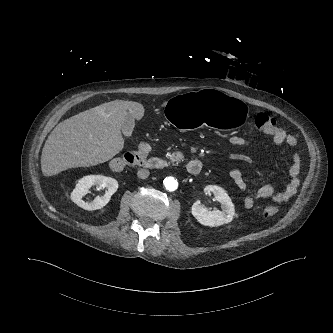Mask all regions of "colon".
Masks as SVG:
<instances>
[{"label": "colon", "mask_w": 333, "mask_h": 333, "mask_svg": "<svg viewBox=\"0 0 333 333\" xmlns=\"http://www.w3.org/2000/svg\"><path fill=\"white\" fill-rule=\"evenodd\" d=\"M255 127L262 133L273 136L277 131V124L274 118L265 113H260L255 118ZM148 155L147 150H136L127 152L110 161V168L120 171L128 166L141 165ZM278 208L274 205H267L261 210L263 217L268 218L277 214Z\"/></svg>", "instance_id": "5ec220e1"}]
</instances>
